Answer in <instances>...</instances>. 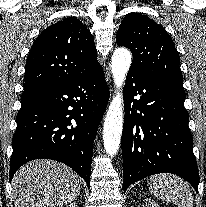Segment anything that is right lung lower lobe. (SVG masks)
Listing matches in <instances>:
<instances>
[{
    "mask_svg": "<svg viewBox=\"0 0 206 207\" xmlns=\"http://www.w3.org/2000/svg\"><path fill=\"white\" fill-rule=\"evenodd\" d=\"M109 99L102 67L70 82L24 91L12 139L10 181L23 164L62 162L90 186L92 144Z\"/></svg>",
    "mask_w": 206,
    "mask_h": 207,
    "instance_id": "right-lung-lower-lobe-1",
    "label": "right lung lower lobe"
}]
</instances>
